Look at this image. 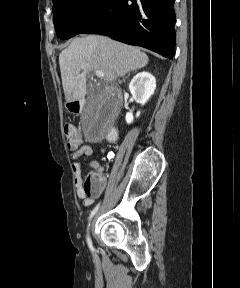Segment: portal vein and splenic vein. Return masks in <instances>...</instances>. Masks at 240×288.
<instances>
[{"label": "portal vein and splenic vein", "instance_id": "portal-vein-and-splenic-vein-1", "mask_svg": "<svg viewBox=\"0 0 240 288\" xmlns=\"http://www.w3.org/2000/svg\"><path fill=\"white\" fill-rule=\"evenodd\" d=\"M95 74L99 78H103L104 77V73L101 70H95Z\"/></svg>", "mask_w": 240, "mask_h": 288}]
</instances>
